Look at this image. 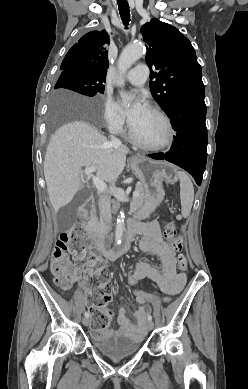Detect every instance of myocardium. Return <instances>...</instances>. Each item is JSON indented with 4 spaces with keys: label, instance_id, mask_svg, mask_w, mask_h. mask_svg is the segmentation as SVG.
Instances as JSON below:
<instances>
[{
    "label": "myocardium",
    "instance_id": "f54148a6",
    "mask_svg": "<svg viewBox=\"0 0 248 389\" xmlns=\"http://www.w3.org/2000/svg\"><path fill=\"white\" fill-rule=\"evenodd\" d=\"M146 108L149 109L154 114L158 115L162 119V121L164 122V124L166 126L165 139L157 144H147V143L141 142L134 135L132 128H131V125L129 126V139L137 147H139L143 150H146V151L163 150V149L169 147L170 145H172V143L174 141L175 131H174L172 121H171L170 117L162 109H160L158 106L153 105V104H148Z\"/></svg>",
    "mask_w": 248,
    "mask_h": 389
}]
</instances>
